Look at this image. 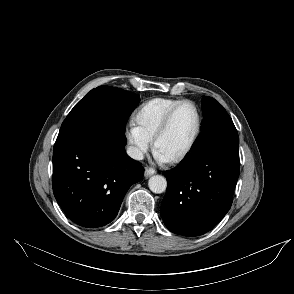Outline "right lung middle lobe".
I'll use <instances>...</instances> for the list:
<instances>
[{
  "instance_id": "1",
  "label": "right lung middle lobe",
  "mask_w": 294,
  "mask_h": 294,
  "mask_svg": "<svg viewBox=\"0 0 294 294\" xmlns=\"http://www.w3.org/2000/svg\"><path fill=\"white\" fill-rule=\"evenodd\" d=\"M107 98L101 100L97 93ZM140 97L132 92L110 86L91 90L68 114L61 125L57 140L92 132L118 130L125 132L128 115Z\"/></svg>"
}]
</instances>
